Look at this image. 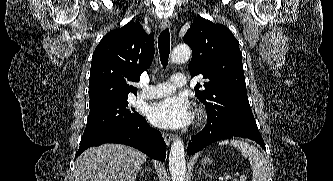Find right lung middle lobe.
Wrapping results in <instances>:
<instances>
[{
  "mask_svg": "<svg viewBox=\"0 0 333 181\" xmlns=\"http://www.w3.org/2000/svg\"><path fill=\"white\" fill-rule=\"evenodd\" d=\"M138 117L140 115L134 108H128L127 99L90 108L83 135L126 125Z\"/></svg>",
  "mask_w": 333,
  "mask_h": 181,
  "instance_id": "right-lung-middle-lobe-1",
  "label": "right lung middle lobe"
}]
</instances>
